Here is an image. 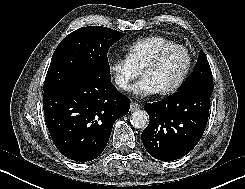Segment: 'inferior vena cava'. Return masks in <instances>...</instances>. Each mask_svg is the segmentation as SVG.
<instances>
[{
    "instance_id": "1",
    "label": "inferior vena cava",
    "mask_w": 245,
    "mask_h": 189,
    "mask_svg": "<svg viewBox=\"0 0 245 189\" xmlns=\"http://www.w3.org/2000/svg\"><path fill=\"white\" fill-rule=\"evenodd\" d=\"M117 84L122 87L123 89L127 88V84L126 82L122 81V80H117Z\"/></svg>"
}]
</instances>
